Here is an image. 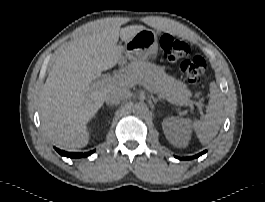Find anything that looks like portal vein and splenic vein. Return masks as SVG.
<instances>
[{
  "label": "portal vein and splenic vein",
  "instance_id": "obj_1",
  "mask_svg": "<svg viewBox=\"0 0 265 202\" xmlns=\"http://www.w3.org/2000/svg\"><path fill=\"white\" fill-rule=\"evenodd\" d=\"M115 83H119V84H122V85H128V84L131 83V79H130L129 76H127L125 74H117L115 76L105 77V78L95 82L93 85L94 86H103V85H110V84H115ZM143 86L146 89H148L149 91L153 92L151 87L147 83L144 82ZM157 95L160 96L161 98L167 100L171 104L178 105L175 101H173L172 99L166 97L165 95H161V94H157Z\"/></svg>",
  "mask_w": 265,
  "mask_h": 202
}]
</instances>
